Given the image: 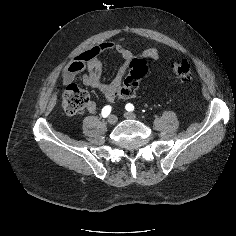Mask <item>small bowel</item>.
Instances as JSON below:
<instances>
[{
  "label": "small bowel",
  "instance_id": "small-bowel-1",
  "mask_svg": "<svg viewBox=\"0 0 236 236\" xmlns=\"http://www.w3.org/2000/svg\"><path fill=\"white\" fill-rule=\"evenodd\" d=\"M107 52L118 54L123 59V63L110 82H103L101 79L103 68L101 55ZM141 56L151 61H157L160 53L156 48L150 47L143 50ZM133 57V52L122 44L104 41L78 54L63 70L61 80L65 84L71 83L80 73L85 71L86 73L82 78L83 84L98 89L107 101L116 102L118 99H127L134 96L136 90L126 95H121L120 91L123 77ZM86 110L90 113L95 112L97 110L96 103L88 102Z\"/></svg>",
  "mask_w": 236,
  "mask_h": 236
}]
</instances>
